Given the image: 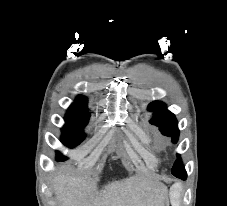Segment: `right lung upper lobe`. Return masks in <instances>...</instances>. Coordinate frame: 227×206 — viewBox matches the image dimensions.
Returning <instances> with one entry per match:
<instances>
[{
  "instance_id": "1",
  "label": "right lung upper lobe",
  "mask_w": 227,
  "mask_h": 206,
  "mask_svg": "<svg viewBox=\"0 0 227 206\" xmlns=\"http://www.w3.org/2000/svg\"><path fill=\"white\" fill-rule=\"evenodd\" d=\"M77 100H79V101L86 100V98L80 95V96L77 97Z\"/></svg>"
}]
</instances>
